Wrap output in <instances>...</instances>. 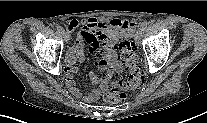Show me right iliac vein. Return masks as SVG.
<instances>
[{
    "label": "right iliac vein",
    "instance_id": "right-iliac-vein-1",
    "mask_svg": "<svg viewBox=\"0 0 207 123\" xmlns=\"http://www.w3.org/2000/svg\"><path fill=\"white\" fill-rule=\"evenodd\" d=\"M63 35H64V38H65V41L68 42L69 39H70L69 34L64 32Z\"/></svg>",
    "mask_w": 207,
    "mask_h": 123
}]
</instances>
